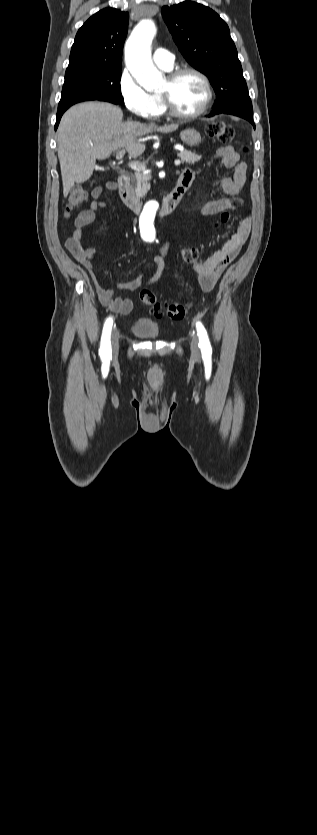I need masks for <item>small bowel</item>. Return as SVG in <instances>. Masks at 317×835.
<instances>
[{"label":"small bowel","mask_w":317,"mask_h":835,"mask_svg":"<svg viewBox=\"0 0 317 835\" xmlns=\"http://www.w3.org/2000/svg\"><path fill=\"white\" fill-rule=\"evenodd\" d=\"M217 156L226 168L233 170V175L223 177L213 183V186L220 188L225 196L204 202L200 208V213L203 216L216 215L242 203L238 195L246 182V164L240 161L238 153L232 146L220 147L217 150ZM195 178L196 172L191 168H186L183 170L180 179L190 187L195 181ZM105 187L111 191L115 190L113 182H108ZM103 191V186H98L92 191V202L88 208L79 212L66 245L88 271L101 304L112 312L127 315L133 309L132 299L128 297H116L114 296L113 289L104 287L101 284L93 265L95 250L93 248H82L79 243L84 228L94 222L97 210L107 206L106 202L101 199ZM250 227L251 220L246 216L238 225L231 239L221 250L203 261L197 259L190 261L193 271L198 277L199 284L204 291H210L214 287L227 266L239 254L249 236ZM159 251L160 256L154 259L155 271L152 275L149 276L147 273H143L133 280L118 282L116 283V288L121 291H135L140 287L151 286L157 283L164 273L163 257L168 252V244L163 243Z\"/></svg>","instance_id":"c3829d8e"}]
</instances>
